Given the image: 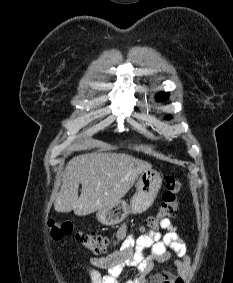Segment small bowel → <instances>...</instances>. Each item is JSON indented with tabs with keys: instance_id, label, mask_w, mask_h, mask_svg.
I'll use <instances>...</instances> for the list:
<instances>
[{
	"instance_id": "c3829d8e",
	"label": "small bowel",
	"mask_w": 233,
	"mask_h": 283,
	"mask_svg": "<svg viewBox=\"0 0 233 283\" xmlns=\"http://www.w3.org/2000/svg\"><path fill=\"white\" fill-rule=\"evenodd\" d=\"M167 232L145 233L138 238L128 234L123 224L116 235L114 244L120 249L104 257H92L86 268L92 283H119L125 267H134L137 274L124 283H184L192 268L187 246L180 238L176 227L169 219L160 224ZM172 261L176 275L168 271L153 273L155 264ZM99 269L105 271L104 274Z\"/></svg>"
}]
</instances>
